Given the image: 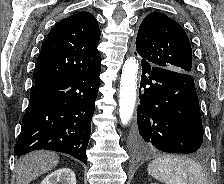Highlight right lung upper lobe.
Listing matches in <instances>:
<instances>
[{
  "label": "right lung upper lobe",
  "instance_id": "obj_1",
  "mask_svg": "<svg viewBox=\"0 0 224 184\" xmlns=\"http://www.w3.org/2000/svg\"><path fill=\"white\" fill-rule=\"evenodd\" d=\"M100 29L96 18L80 12L48 33L37 60L35 83L88 72L100 66Z\"/></svg>",
  "mask_w": 224,
  "mask_h": 184
}]
</instances>
